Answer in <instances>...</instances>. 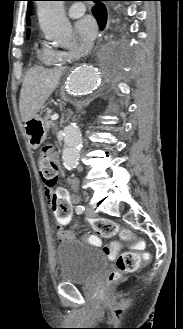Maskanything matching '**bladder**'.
<instances>
[{
	"mask_svg": "<svg viewBox=\"0 0 183 329\" xmlns=\"http://www.w3.org/2000/svg\"><path fill=\"white\" fill-rule=\"evenodd\" d=\"M55 253L59 277L64 282L85 283L108 268V259L101 250L78 239H63Z\"/></svg>",
	"mask_w": 183,
	"mask_h": 329,
	"instance_id": "bladder-1",
	"label": "bladder"
}]
</instances>
